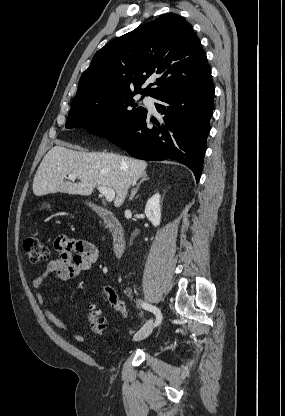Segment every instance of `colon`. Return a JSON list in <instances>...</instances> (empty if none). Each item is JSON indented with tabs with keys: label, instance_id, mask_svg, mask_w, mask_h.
<instances>
[{
	"label": "colon",
	"instance_id": "colon-1",
	"mask_svg": "<svg viewBox=\"0 0 285 416\" xmlns=\"http://www.w3.org/2000/svg\"><path fill=\"white\" fill-rule=\"evenodd\" d=\"M23 245L31 264L36 265L49 258V249L37 237L26 238ZM104 293L110 305L123 317H127L128 309L116 292L111 287H106ZM88 319L93 333H101L106 328L105 318L94 305H90L88 308Z\"/></svg>",
	"mask_w": 285,
	"mask_h": 416
}]
</instances>
